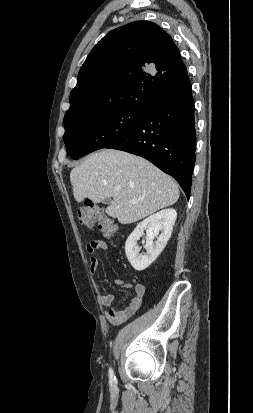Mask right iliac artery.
<instances>
[{"mask_svg":"<svg viewBox=\"0 0 253 413\" xmlns=\"http://www.w3.org/2000/svg\"><path fill=\"white\" fill-rule=\"evenodd\" d=\"M109 378H110V381H114V380H116V378H115V375H114V372H113L112 368H110V369H109Z\"/></svg>","mask_w":253,"mask_h":413,"instance_id":"obj_1","label":"right iliac artery"}]
</instances>
